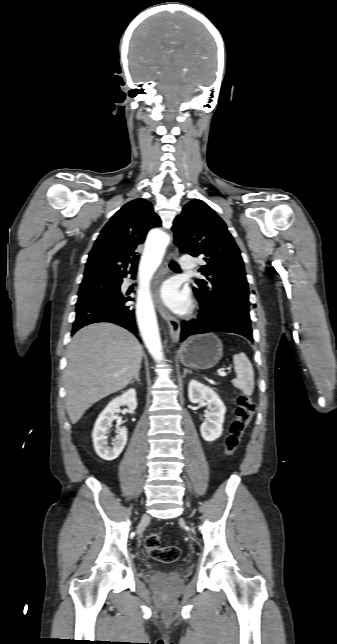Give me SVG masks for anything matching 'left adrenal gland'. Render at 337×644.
<instances>
[{"mask_svg":"<svg viewBox=\"0 0 337 644\" xmlns=\"http://www.w3.org/2000/svg\"><path fill=\"white\" fill-rule=\"evenodd\" d=\"M188 373L191 374L192 372L190 370L184 369L183 378H185L186 374Z\"/></svg>","mask_w":337,"mask_h":644,"instance_id":"a2214340","label":"left adrenal gland"}]
</instances>
